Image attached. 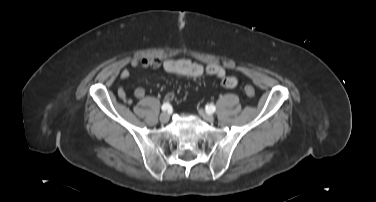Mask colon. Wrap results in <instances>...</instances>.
Listing matches in <instances>:
<instances>
[{
	"label": "colon",
	"instance_id": "colon-1",
	"mask_svg": "<svg viewBox=\"0 0 376 202\" xmlns=\"http://www.w3.org/2000/svg\"><path fill=\"white\" fill-rule=\"evenodd\" d=\"M244 92L247 96L252 97L255 95L256 91L255 88L252 85H246L244 87Z\"/></svg>",
	"mask_w": 376,
	"mask_h": 202
}]
</instances>
